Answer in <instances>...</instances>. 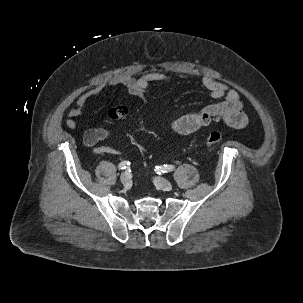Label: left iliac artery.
Listing matches in <instances>:
<instances>
[{
  "label": "left iliac artery",
  "mask_w": 303,
  "mask_h": 303,
  "mask_svg": "<svg viewBox=\"0 0 303 303\" xmlns=\"http://www.w3.org/2000/svg\"><path fill=\"white\" fill-rule=\"evenodd\" d=\"M175 169L174 165H163V166H156L155 171L158 174L166 173V172H171Z\"/></svg>",
  "instance_id": "44dca946"
}]
</instances>
